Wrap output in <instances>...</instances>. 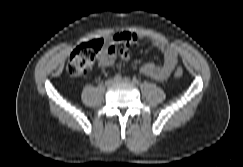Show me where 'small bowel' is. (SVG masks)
Returning a JSON list of instances; mask_svg holds the SVG:
<instances>
[{
  "label": "small bowel",
  "mask_w": 243,
  "mask_h": 167,
  "mask_svg": "<svg viewBox=\"0 0 243 167\" xmlns=\"http://www.w3.org/2000/svg\"><path fill=\"white\" fill-rule=\"evenodd\" d=\"M140 40V36L131 31H117L107 38L104 48L99 53L97 62L100 68L110 67L116 59L127 61L130 58V48ZM153 45L164 57L162 65L148 62L141 67V73L158 81L166 80L177 67L176 50L167 42L154 39Z\"/></svg>",
  "instance_id": "small-bowel-1"
}]
</instances>
